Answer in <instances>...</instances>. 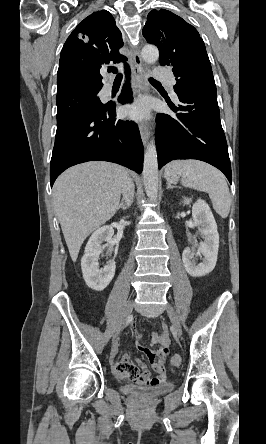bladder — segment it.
<instances>
[{
    "label": "bladder",
    "instance_id": "obj_1",
    "mask_svg": "<svg viewBox=\"0 0 266 444\" xmlns=\"http://www.w3.org/2000/svg\"><path fill=\"white\" fill-rule=\"evenodd\" d=\"M173 390L172 383H164L157 386H140L129 384L124 387L127 395H132L141 399H152L157 396L169 393Z\"/></svg>",
    "mask_w": 266,
    "mask_h": 444
}]
</instances>
